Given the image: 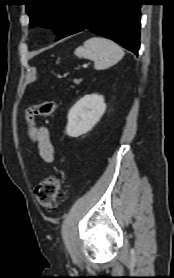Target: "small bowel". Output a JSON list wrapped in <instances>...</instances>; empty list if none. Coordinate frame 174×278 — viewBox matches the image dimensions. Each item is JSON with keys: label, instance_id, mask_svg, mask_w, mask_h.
<instances>
[{"label": "small bowel", "instance_id": "small-bowel-1", "mask_svg": "<svg viewBox=\"0 0 174 278\" xmlns=\"http://www.w3.org/2000/svg\"><path fill=\"white\" fill-rule=\"evenodd\" d=\"M36 134L37 146L41 158L46 162H52L54 159V151L48 129L44 126H39L36 128Z\"/></svg>", "mask_w": 174, "mask_h": 278}]
</instances>
